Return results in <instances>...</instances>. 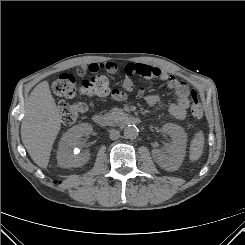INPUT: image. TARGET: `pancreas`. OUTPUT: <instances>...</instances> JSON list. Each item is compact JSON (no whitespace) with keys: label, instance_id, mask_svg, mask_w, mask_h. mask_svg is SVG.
<instances>
[{"label":"pancreas","instance_id":"pancreas-1","mask_svg":"<svg viewBox=\"0 0 245 245\" xmlns=\"http://www.w3.org/2000/svg\"><path fill=\"white\" fill-rule=\"evenodd\" d=\"M124 115L123 110L119 108H113L107 113V119L109 121H118Z\"/></svg>","mask_w":245,"mask_h":245}]
</instances>
